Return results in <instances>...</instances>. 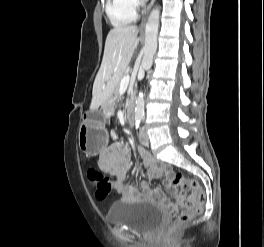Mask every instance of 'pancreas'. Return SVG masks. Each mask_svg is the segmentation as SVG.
I'll use <instances>...</instances> for the list:
<instances>
[{"instance_id":"cf45deb5","label":"pancreas","mask_w":264,"mask_h":247,"mask_svg":"<svg viewBox=\"0 0 264 247\" xmlns=\"http://www.w3.org/2000/svg\"><path fill=\"white\" fill-rule=\"evenodd\" d=\"M118 91H119V83L116 85V87H115V89H114V92H113V94H114V98L117 97V95H118Z\"/></svg>"}]
</instances>
